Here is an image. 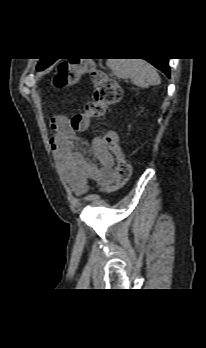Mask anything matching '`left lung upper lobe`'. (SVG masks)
Masks as SVG:
<instances>
[{"instance_id":"1","label":"left lung upper lobe","mask_w":206,"mask_h":348,"mask_svg":"<svg viewBox=\"0 0 206 348\" xmlns=\"http://www.w3.org/2000/svg\"><path fill=\"white\" fill-rule=\"evenodd\" d=\"M51 64H52V61L40 59L38 65H37V70H43Z\"/></svg>"}]
</instances>
